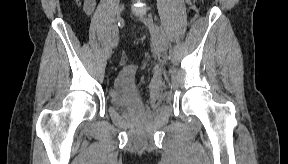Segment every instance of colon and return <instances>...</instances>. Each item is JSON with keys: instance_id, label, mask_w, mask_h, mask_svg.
Masks as SVG:
<instances>
[{"instance_id": "colon-1", "label": "colon", "mask_w": 288, "mask_h": 164, "mask_svg": "<svg viewBox=\"0 0 288 164\" xmlns=\"http://www.w3.org/2000/svg\"><path fill=\"white\" fill-rule=\"evenodd\" d=\"M126 61H127V55H126L125 53H122V55H121V62H122V63H126Z\"/></svg>"}]
</instances>
